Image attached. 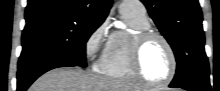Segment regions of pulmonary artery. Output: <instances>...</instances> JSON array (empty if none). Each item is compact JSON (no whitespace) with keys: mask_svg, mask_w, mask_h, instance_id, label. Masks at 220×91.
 <instances>
[{"mask_svg":"<svg viewBox=\"0 0 220 91\" xmlns=\"http://www.w3.org/2000/svg\"><path fill=\"white\" fill-rule=\"evenodd\" d=\"M121 14H129L139 18L146 17V8L141 1H123L120 5Z\"/></svg>","mask_w":220,"mask_h":91,"instance_id":"obj_1","label":"pulmonary artery"}]
</instances>
